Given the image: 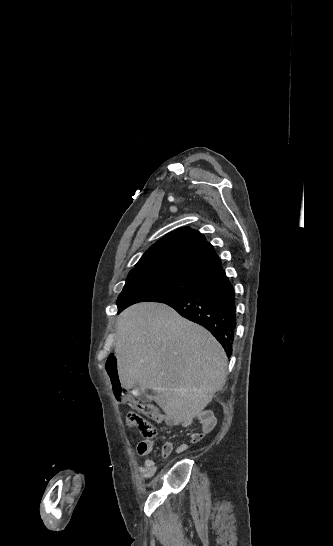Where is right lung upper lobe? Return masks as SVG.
Returning a JSON list of instances; mask_svg holds the SVG:
<instances>
[{"instance_id":"right-lung-upper-lobe-1","label":"right lung upper lobe","mask_w":333,"mask_h":546,"mask_svg":"<svg viewBox=\"0 0 333 546\" xmlns=\"http://www.w3.org/2000/svg\"><path fill=\"white\" fill-rule=\"evenodd\" d=\"M220 266L221 260L204 235L186 227L152 245L129 275L163 272L202 280Z\"/></svg>"}]
</instances>
